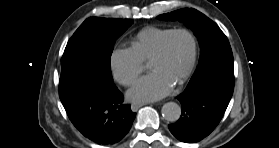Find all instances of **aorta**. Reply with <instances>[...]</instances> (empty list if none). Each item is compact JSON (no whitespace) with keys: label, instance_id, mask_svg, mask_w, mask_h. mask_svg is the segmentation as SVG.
<instances>
[{"label":"aorta","instance_id":"aorta-1","mask_svg":"<svg viewBox=\"0 0 279 148\" xmlns=\"http://www.w3.org/2000/svg\"><path fill=\"white\" fill-rule=\"evenodd\" d=\"M161 111L164 119L169 122H176L181 116V107L175 102L165 103Z\"/></svg>","mask_w":279,"mask_h":148}]
</instances>
